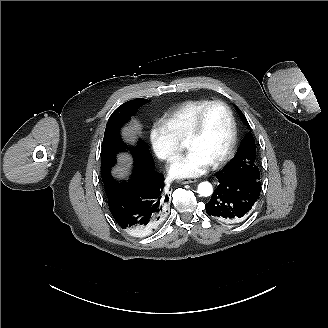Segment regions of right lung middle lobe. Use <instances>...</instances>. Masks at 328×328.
Returning a JSON list of instances; mask_svg holds the SVG:
<instances>
[{
  "instance_id": "obj_1",
  "label": "right lung middle lobe",
  "mask_w": 328,
  "mask_h": 328,
  "mask_svg": "<svg viewBox=\"0 0 328 328\" xmlns=\"http://www.w3.org/2000/svg\"><path fill=\"white\" fill-rule=\"evenodd\" d=\"M147 102L149 101L143 98L125 102L111 114L106 124L101 150V177L106 192H110L111 186L116 183L110 171L116 164L118 152L125 151L126 148L131 152L134 159V172L140 168H146L153 161L152 155L143 142L139 141L136 146L128 147L122 142L119 134L121 125L130 119L135 110Z\"/></svg>"
}]
</instances>
